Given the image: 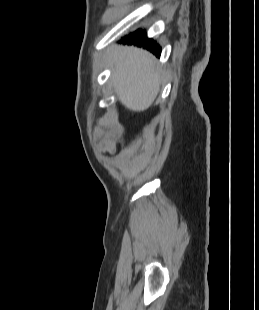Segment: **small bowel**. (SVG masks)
Returning <instances> with one entry per match:
<instances>
[{
    "label": "small bowel",
    "mask_w": 259,
    "mask_h": 310,
    "mask_svg": "<svg viewBox=\"0 0 259 310\" xmlns=\"http://www.w3.org/2000/svg\"><path fill=\"white\" fill-rule=\"evenodd\" d=\"M113 148H114V144H113L111 141L104 140V141L101 143V145H100V147H99V150H100L101 152H107V151L113 150Z\"/></svg>",
    "instance_id": "1"
}]
</instances>
